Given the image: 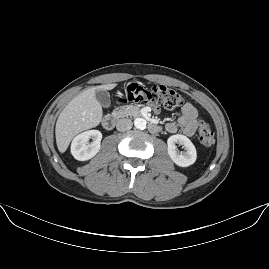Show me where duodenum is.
<instances>
[{
  "mask_svg": "<svg viewBox=\"0 0 269 269\" xmlns=\"http://www.w3.org/2000/svg\"><path fill=\"white\" fill-rule=\"evenodd\" d=\"M135 115H137L138 117H142L147 119L148 115L146 112L142 111V110H136L135 111ZM116 124V118L112 115H106L103 119H102V126L104 129L106 130H112L115 127ZM148 130L151 133H157L160 131V126L152 121L148 122Z\"/></svg>",
  "mask_w": 269,
  "mask_h": 269,
  "instance_id": "1",
  "label": "duodenum"
}]
</instances>
